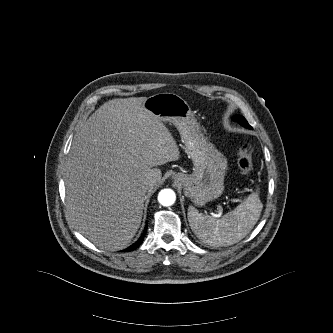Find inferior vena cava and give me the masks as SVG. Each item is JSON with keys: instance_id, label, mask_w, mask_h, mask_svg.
<instances>
[{"instance_id": "1", "label": "inferior vena cava", "mask_w": 333, "mask_h": 333, "mask_svg": "<svg viewBox=\"0 0 333 333\" xmlns=\"http://www.w3.org/2000/svg\"><path fill=\"white\" fill-rule=\"evenodd\" d=\"M158 180V176L156 175L155 172H151L149 173V175L147 176L144 184L147 186V187H152L156 184Z\"/></svg>"}]
</instances>
